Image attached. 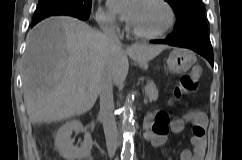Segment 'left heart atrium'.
I'll return each instance as SVG.
<instances>
[{
  "mask_svg": "<svg viewBox=\"0 0 242 160\" xmlns=\"http://www.w3.org/2000/svg\"><path fill=\"white\" fill-rule=\"evenodd\" d=\"M140 0H109L110 9L123 20L131 22Z\"/></svg>",
  "mask_w": 242,
  "mask_h": 160,
  "instance_id": "obj_1",
  "label": "left heart atrium"
}]
</instances>
